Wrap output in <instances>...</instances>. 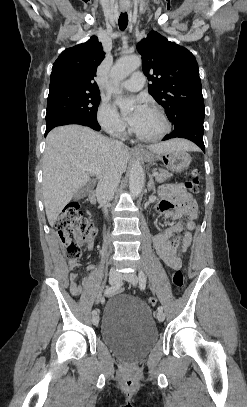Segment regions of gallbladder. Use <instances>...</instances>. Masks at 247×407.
<instances>
[{
  "label": "gallbladder",
  "instance_id": "1",
  "mask_svg": "<svg viewBox=\"0 0 247 407\" xmlns=\"http://www.w3.org/2000/svg\"><path fill=\"white\" fill-rule=\"evenodd\" d=\"M92 189V183L88 182L84 187L79 189L77 193L74 195L75 199H81L86 197Z\"/></svg>",
  "mask_w": 247,
  "mask_h": 407
}]
</instances>
